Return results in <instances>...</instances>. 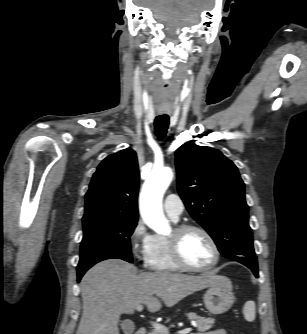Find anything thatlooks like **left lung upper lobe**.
Instances as JSON below:
<instances>
[{
    "label": "left lung upper lobe",
    "mask_w": 307,
    "mask_h": 334,
    "mask_svg": "<svg viewBox=\"0 0 307 334\" xmlns=\"http://www.w3.org/2000/svg\"><path fill=\"white\" fill-rule=\"evenodd\" d=\"M179 194L190 215L209 233L220 253L256 265L244 183L219 150L185 143L176 152Z\"/></svg>",
    "instance_id": "obj_1"
}]
</instances>
